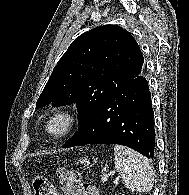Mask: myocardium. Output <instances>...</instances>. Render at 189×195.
<instances>
[{
  "mask_svg": "<svg viewBox=\"0 0 189 195\" xmlns=\"http://www.w3.org/2000/svg\"><path fill=\"white\" fill-rule=\"evenodd\" d=\"M63 117L66 120V125L64 129L58 133H54L50 129L51 123L59 118ZM79 123V114L78 112L71 107H60L55 109L48 117L45 125V129L48 135L55 139H61L68 136L78 125Z\"/></svg>",
  "mask_w": 189,
  "mask_h": 195,
  "instance_id": "1",
  "label": "myocardium"
}]
</instances>
